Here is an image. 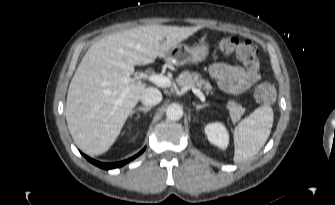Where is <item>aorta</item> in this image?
<instances>
[{
  "mask_svg": "<svg viewBox=\"0 0 335 205\" xmlns=\"http://www.w3.org/2000/svg\"><path fill=\"white\" fill-rule=\"evenodd\" d=\"M183 115L182 106L176 103L170 104L166 109V116L170 120H179Z\"/></svg>",
  "mask_w": 335,
  "mask_h": 205,
  "instance_id": "762f6f07",
  "label": "aorta"
}]
</instances>
